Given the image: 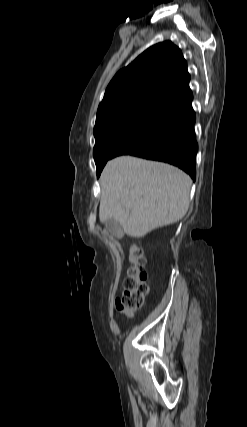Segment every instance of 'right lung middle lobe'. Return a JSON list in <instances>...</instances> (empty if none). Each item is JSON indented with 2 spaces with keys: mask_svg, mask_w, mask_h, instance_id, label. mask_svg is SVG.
Returning <instances> with one entry per match:
<instances>
[{
  "mask_svg": "<svg viewBox=\"0 0 247 427\" xmlns=\"http://www.w3.org/2000/svg\"><path fill=\"white\" fill-rule=\"evenodd\" d=\"M153 111L154 108L149 107H131L106 113L96 119L93 155L98 177L118 145Z\"/></svg>",
  "mask_w": 247,
  "mask_h": 427,
  "instance_id": "obj_1",
  "label": "right lung middle lobe"
}]
</instances>
